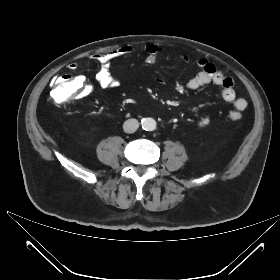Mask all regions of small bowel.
<instances>
[{
  "label": "small bowel",
  "mask_w": 280,
  "mask_h": 280,
  "mask_svg": "<svg viewBox=\"0 0 280 280\" xmlns=\"http://www.w3.org/2000/svg\"><path fill=\"white\" fill-rule=\"evenodd\" d=\"M158 47L150 44L146 47V62L153 64L158 59ZM135 53V48L130 45H124L117 49L110 50L103 53H98L92 56V60L99 64V68L95 74L96 83L102 88H117L121 85L118 77L111 73L110 65L114 59L130 57ZM188 60V58H185ZM198 66L201 71L189 79L185 83H178L176 90L180 93L186 90H196L208 84H215L221 87L220 98L226 102L232 103L234 110L230 112V118L233 119L234 114H240L247 107V100L238 96L234 90V82L231 77L227 76L223 71L216 68L211 62L206 59H200ZM77 63H70L68 69L76 71ZM83 79V78H82ZM81 93L89 95L93 91V84L83 79ZM235 120V119H233ZM210 124L209 117H203L197 122V126L205 128Z\"/></svg>",
  "instance_id": "1"
}]
</instances>
